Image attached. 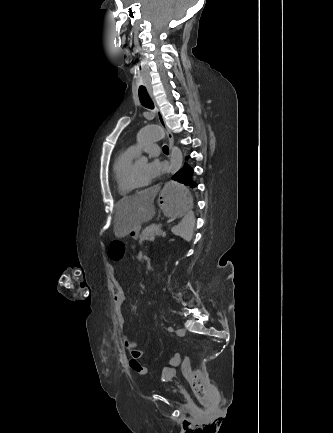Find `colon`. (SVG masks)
I'll return each mask as SVG.
<instances>
[{
	"instance_id": "5ec220e1",
	"label": "colon",
	"mask_w": 333,
	"mask_h": 433,
	"mask_svg": "<svg viewBox=\"0 0 333 433\" xmlns=\"http://www.w3.org/2000/svg\"><path fill=\"white\" fill-rule=\"evenodd\" d=\"M110 263L119 265L124 255L125 240H110ZM165 279V276H162ZM175 366H181L182 373L187 378L194 396L201 404H206L210 398L209 381L205 373L193 367L189 356L175 353L169 360ZM130 368L139 375L149 374V369L136 360L129 361Z\"/></svg>"
}]
</instances>
